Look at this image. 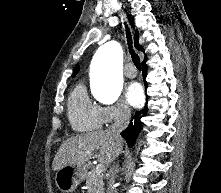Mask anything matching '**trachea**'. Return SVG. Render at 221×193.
<instances>
[{
  "label": "trachea",
  "instance_id": "obj_1",
  "mask_svg": "<svg viewBox=\"0 0 221 193\" xmlns=\"http://www.w3.org/2000/svg\"><path fill=\"white\" fill-rule=\"evenodd\" d=\"M125 27H126V35H127L128 46H129V52L131 54L132 61L135 64L136 68L138 70H141L140 59H139L138 55L134 52L133 47H132V36L130 33V29L128 28V26L126 24H125Z\"/></svg>",
  "mask_w": 221,
  "mask_h": 193
}]
</instances>
